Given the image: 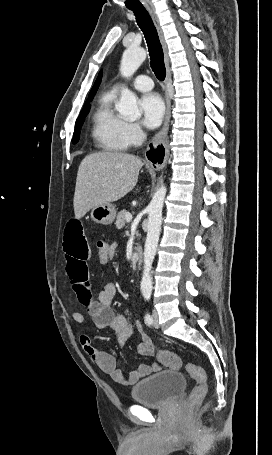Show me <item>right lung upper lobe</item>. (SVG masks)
I'll use <instances>...</instances> for the list:
<instances>
[{"label": "right lung upper lobe", "instance_id": "1", "mask_svg": "<svg viewBox=\"0 0 272 455\" xmlns=\"http://www.w3.org/2000/svg\"><path fill=\"white\" fill-rule=\"evenodd\" d=\"M101 79H102V71H100V73H99V75H98V77H97V80H96L94 86L92 87V89H91V91H90V94H89V96H88L87 101L93 99V97H94V95L96 94V92H97V90H98V87H99V85H100V83H101ZM87 101H86V102H87Z\"/></svg>", "mask_w": 272, "mask_h": 455}]
</instances>
